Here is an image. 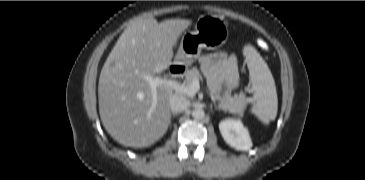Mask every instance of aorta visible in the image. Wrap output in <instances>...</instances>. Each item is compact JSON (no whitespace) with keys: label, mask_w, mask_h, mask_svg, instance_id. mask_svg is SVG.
<instances>
[{"label":"aorta","mask_w":365,"mask_h":180,"mask_svg":"<svg viewBox=\"0 0 365 180\" xmlns=\"http://www.w3.org/2000/svg\"><path fill=\"white\" fill-rule=\"evenodd\" d=\"M204 111L203 109L201 108H195L193 111H192V116L195 118V119H202L204 117Z\"/></svg>","instance_id":"762f6f07"}]
</instances>
